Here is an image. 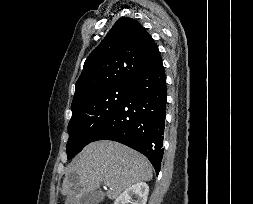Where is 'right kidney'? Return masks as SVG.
Wrapping results in <instances>:
<instances>
[{"label":"right kidney","mask_w":253,"mask_h":204,"mask_svg":"<svg viewBox=\"0 0 253 204\" xmlns=\"http://www.w3.org/2000/svg\"><path fill=\"white\" fill-rule=\"evenodd\" d=\"M149 187L145 182H138L127 188L114 202V204H146ZM132 197L135 199L133 200Z\"/></svg>","instance_id":"1"}]
</instances>
